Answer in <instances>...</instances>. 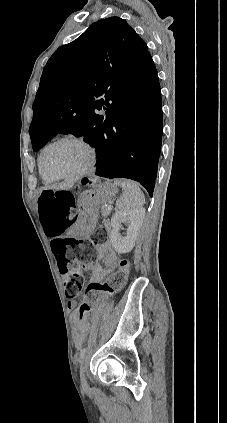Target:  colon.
Returning a JSON list of instances; mask_svg holds the SVG:
<instances>
[{
    "instance_id": "5ec220e1",
    "label": "colon",
    "mask_w": 227,
    "mask_h": 423,
    "mask_svg": "<svg viewBox=\"0 0 227 423\" xmlns=\"http://www.w3.org/2000/svg\"><path fill=\"white\" fill-rule=\"evenodd\" d=\"M38 210L46 234L58 238L53 244V253L63 278L65 295L68 299H75L82 290L84 269L96 256L95 245L107 241V229L100 227L90 240L77 241L65 237L66 230L73 225L77 216L74 195L66 189L42 190L38 198ZM128 271L129 262L121 259L117 271L106 283H90L85 290L79 314L89 315L102 292L119 291L126 283Z\"/></svg>"
}]
</instances>
